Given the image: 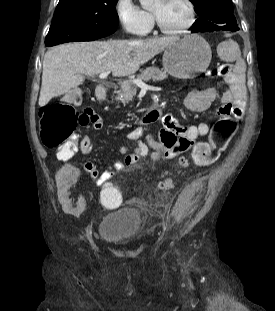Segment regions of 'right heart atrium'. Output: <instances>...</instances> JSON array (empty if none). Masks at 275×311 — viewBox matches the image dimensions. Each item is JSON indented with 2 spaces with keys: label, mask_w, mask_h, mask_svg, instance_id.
<instances>
[{
  "label": "right heart atrium",
  "mask_w": 275,
  "mask_h": 311,
  "mask_svg": "<svg viewBox=\"0 0 275 311\" xmlns=\"http://www.w3.org/2000/svg\"><path fill=\"white\" fill-rule=\"evenodd\" d=\"M114 11L120 26L129 33L144 35L152 28L151 15L134 0H116Z\"/></svg>",
  "instance_id": "obj_1"
}]
</instances>
